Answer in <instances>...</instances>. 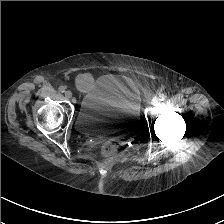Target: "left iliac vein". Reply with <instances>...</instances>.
<instances>
[{
    "mask_svg": "<svg viewBox=\"0 0 224 224\" xmlns=\"http://www.w3.org/2000/svg\"><path fill=\"white\" fill-rule=\"evenodd\" d=\"M158 103H159V99L158 98H153L152 99V101H151V104L153 105V106H157L158 105Z\"/></svg>",
    "mask_w": 224,
    "mask_h": 224,
    "instance_id": "1",
    "label": "left iliac vein"
}]
</instances>
